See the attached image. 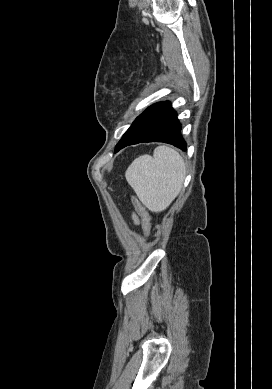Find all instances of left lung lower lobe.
<instances>
[{
    "label": "left lung lower lobe",
    "mask_w": 272,
    "mask_h": 389,
    "mask_svg": "<svg viewBox=\"0 0 272 389\" xmlns=\"http://www.w3.org/2000/svg\"><path fill=\"white\" fill-rule=\"evenodd\" d=\"M177 114L168 101L158 102L140 114L122 139L115 152L141 142H165L186 150V142L181 135V124Z\"/></svg>",
    "instance_id": "1"
}]
</instances>
